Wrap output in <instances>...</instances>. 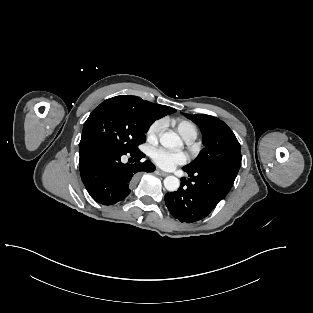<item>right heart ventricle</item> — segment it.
Returning a JSON list of instances; mask_svg holds the SVG:
<instances>
[{
  "label": "right heart ventricle",
  "mask_w": 313,
  "mask_h": 313,
  "mask_svg": "<svg viewBox=\"0 0 313 313\" xmlns=\"http://www.w3.org/2000/svg\"><path fill=\"white\" fill-rule=\"evenodd\" d=\"M170 123L185 141L191 142L197 138L199 130L194 122L187 119H173Z\"/></svg>",
  "instance_id": "e07e8e85"
}]
</instances>
